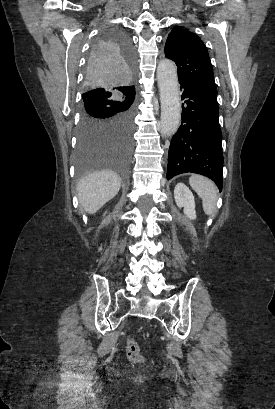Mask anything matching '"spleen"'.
<instances>
[{"instance_id": "spleen-1", "label": "spleen", "mask_w": 275, "mask_h": 409, "mask_svg": "<svg viewBox=\"0 0 275 409\" xmlns=\"http://www.w3.org/2000/svg\"><path fill=\"white\" fill-rule=\"evenodd\" d=\"M189 182L196 190L198 196L202 198L203 211L206 215H214L218 196V188L210 178L200 176V174H192Z\"/></svg>"}]
</instances>
